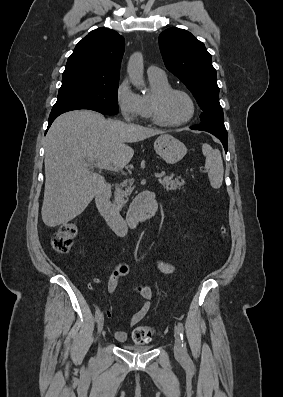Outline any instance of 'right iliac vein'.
<instances>
[{
	"mask_svg": "<svg viewBox=\"0 0 283 397\" xmlns=\"http://www.w3.org/2000/svg\"><path fill=\"white\" fill-rule=\"evenodd\" d=\"M97 322H98V325H97V327H98V332L101 333V331H102V329H103V325H104V316L101 315L100 318H99V320H98Z\"/></svg>",
	"mask_w": 283,
	"mask_h": 397,
	"instance_id": "1",
	"label": "right iliac vein"
}]
</instances>
